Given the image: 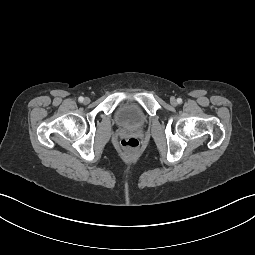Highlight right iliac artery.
I'll list each match as a JSON object with an SVG mask.
<instances>
[{"label":"right iliac artery","mask_w":255,"mask_h":255,"mask_svg":"<svg viewBox=\"0 0 255 255\" xmlns=\"http://www.w3.org/2000/svg\"><path fill=\"white\" fill-rule=\"evenodd\" d=\"M78 100H79V102H83L84 98L82 96H80Z\"/></svg>","instance_id":"82829eb1"}]
</instances>
